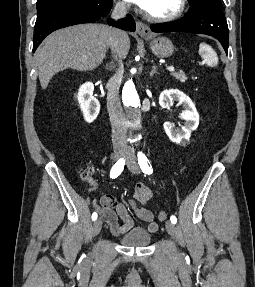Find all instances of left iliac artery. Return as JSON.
Here are the masks:
<instances>
[{"label": "left iliac artery", "mask_w": 255, "mask_h": 287, "mask_svg": "<svg viewBox=\"0 0 255 287\" xmlns=\"http://www.w3.org/2000/svg\"><path fill=\"white\" fill-rule=\"evenodd\" d=\"M138 163L143 173L150 175L153 172L149 160L142 152L138 153ZM170 220L173 224L177 222V218L173 215L170 217Z\"/></svg>", "instance_id": "left-iliac-artery-1"}]
</instances>
